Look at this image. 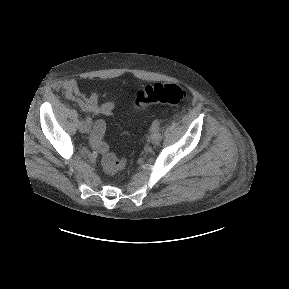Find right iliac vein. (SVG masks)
<instances>
[{
    "mask_svg": "<svg viewBox=\"0 0 289 289\" xmlns=\"http://www.w3.org/2000/svg\"><path fill=\"white\" fill-rule=\"evenodd\" d=\"M79 131L82 132V133H89L90 132V124L88 122H84V121H81L79 123Z\"/></svg>",
    "mask_w": 289,
    "mask_h": 289,
    "instance_id": "right-iliac-vein-1",
    "label": "right iliac vein"
}]
</instances>
